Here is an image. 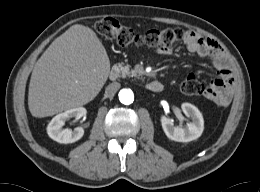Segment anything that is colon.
<instances>
[{
    "label": "colon",
    "instance_id": "5ec220e1",
    "mask_svg": "<svg viewBox=\"0 0 260 192\" xmlns=\"http://www.w3.org/2000/svg\"><path fill=\"white\" fill-rule=\"evenodd\" d=\"M96 31L106 39L115 40L122 46H148L160 50L171 47L184 39L182 28L152 29L144 34L136 33L132 28L121 24L114 18H102L95 24ZM205 86L194 75H189L182 83L181 90L186 95L202 94Z\"/></svg>",
    "mask_w": 260,
    "mask_h": 192
}]
</instances>
